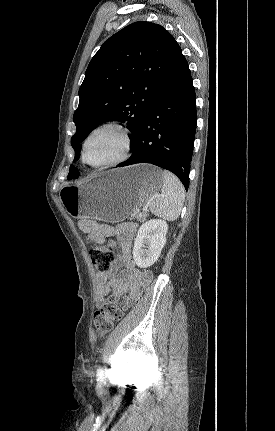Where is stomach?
Listing matches in <instances>:
<instances>
[{
  "instance_id": "obj_1",
  "label": "stomach",
  "mask_w": 275,
  "mask_h": 431,
  "mask_svg": "<svg viewBox=\"0 0 275 431\" xmlns=\"http://www.w3.org/2000/svg\"><path fill=\"white\" fill-rule=\"evenodd\" d=\"M162 184L159 168L138 164L106 171L76 185L67 184L59 196L73 218L117 223L144 206Z\"/></svg>"
}]
</instances>
